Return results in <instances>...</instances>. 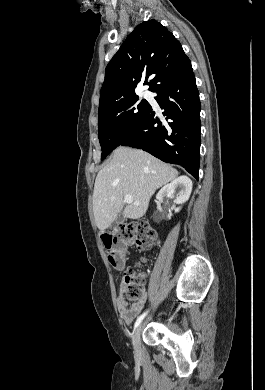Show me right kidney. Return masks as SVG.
<instances>
[{
    "label": "right kidney",
    "mask_w": 265,
    "mask_h": 390,
    "mask_svg": "<svg viewBox=\"0 0 265 390\" xmlns=\"http://www.w3.org/2000/svg\"><path fill=\"white\" fill-rule=\"evenodd\" d=\"M179 192L176 194V190ZM192 191V181L187 176H180L177 179L173 180L171 183L165 185L157 194L158 202H161L164 197H168L174 199L175 205L177 207L174 208L175 212H179L181 206L189 199ZM157 208L158 205H157Z\"/></svg>",
    "instance_id": "obj_1"
}]
</instances>
